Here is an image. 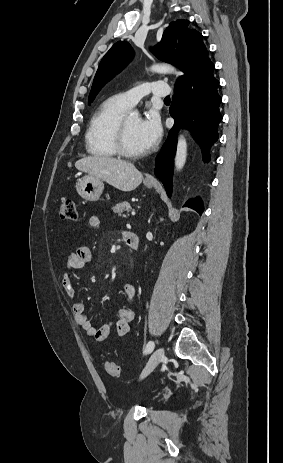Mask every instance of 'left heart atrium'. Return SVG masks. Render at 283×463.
Masks as SVG:
<instances>
[{
  "label": "left heart atrium",
  "mask_w": 283,
  "mask_h": 463,
  "mask_svg": "<svg viewBox=\"0 0 283 463\" xmlns=\"http://www.w3.org/2000/svg\"><path fill=\"white\" fill-rule=\"evenodd\" d=\"M139 135L146 150L154 148L160 141L162 128L158 117L154 114L147 115L139 120Z\"/></svg>",
  "instance_id": "obj_1"
}]
</instances>
